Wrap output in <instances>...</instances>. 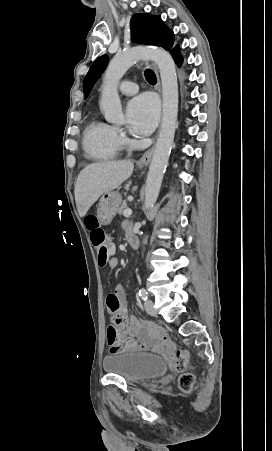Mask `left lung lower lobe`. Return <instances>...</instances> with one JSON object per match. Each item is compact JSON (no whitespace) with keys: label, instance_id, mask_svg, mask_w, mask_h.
I'll return each instance as SVG.
<instances>
[{"label":"left lung lower lobe","instance_id":"0a47b994","mask_svg":"<svg viewBox=\"0 0 272 451\" xmlns=\"http://www.w3.org/2000/svg\"><path fill=\"white\" fill-rule=\"evenodd\" d=\"M170 53H171V55L173 56V58H174L176 64H177L178 66H180V65H181V62L183 61V57H182L181 54H180V48H179V45H176L175 47H173V49L171 50Z\"/></svg>","mask_w":272,"mask_h":451}]
</instances>
